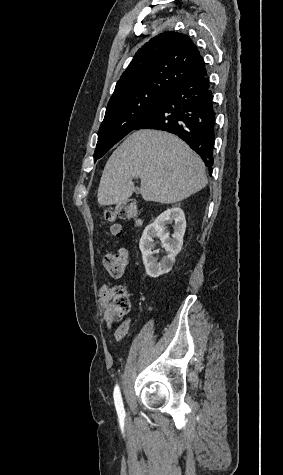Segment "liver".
<instances>
[{"instance_id":"obj_1","label":"liver","mask_w":283,"mask_h":475,"mask_svg":"<svg viewBox=\"0 0 283 475\" xmlns=\"http://www.w3.org/2000/svg\"><path fill=\"white\" fill-rule=\"evenodd\" d=\"M140 178L143 200L175 204L205 188L204 162L177 136L138 130L109 158L98 188V204H126Z\"/></svg>"}]
</instances>
